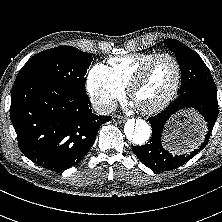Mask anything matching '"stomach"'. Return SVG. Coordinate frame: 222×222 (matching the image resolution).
<instances>
[{
  "mask_svg": "<svg viewBox=\"0 0 222 222\" xmlns=\"http://www.w3.org/2000/svg\"><path fill=\"white\" fill-rule=\"evenodd\" d=\"M204 133V123L194 113L184 114L183 119H174L169 125L165 141L167 148L176 153H185L200 143Z\"/></svg>",
  "mask_w": 222,
  "mask_h": 222,
  "instance_id": "stomach-1",
  "label": "stomach"
}]
</instances>
